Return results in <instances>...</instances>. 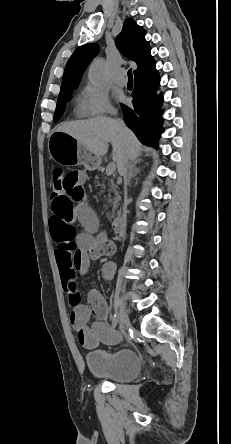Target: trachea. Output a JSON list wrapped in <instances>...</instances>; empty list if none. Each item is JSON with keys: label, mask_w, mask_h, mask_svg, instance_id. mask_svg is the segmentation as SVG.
Listing matches in <instances>:
<instances>
[{"label": "trachea", "mask_w": 231, "mask_h": 444, "mask_svg": "<svg viewBox=\"0 0 231 444\" xmlns=\"http://www.w3.org/2000/svg\"><path fill=\"white\" fill-rule=\"evenodd\" d=\"M127 76H128V80L129 81H133V76H132V69H129L127 72Z\"/></svg>", "instance_id": "trachea-1"}]
</instances>
